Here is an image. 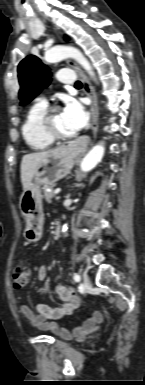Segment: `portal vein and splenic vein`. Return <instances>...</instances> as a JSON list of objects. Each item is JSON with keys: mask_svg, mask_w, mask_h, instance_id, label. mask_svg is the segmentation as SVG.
I'll use <instances>...</instances> for the list:
<instances>
[{"mask_svg": "<svg viewBox=\"0 0 145 385\" xmlns=\"http://www.w3.org/2000/svg\"><path fill=\"white\" fill-rule=\"evenodd\" d=\"M61 192V189L60 188H57L55 191H54V194H59Z\"/></svg>", "mask_w": 145, "mask_h": 385, "instance_id": "obj_1", "label": "portal vein and splenic vein"}]
</instances>
